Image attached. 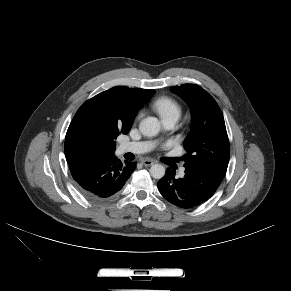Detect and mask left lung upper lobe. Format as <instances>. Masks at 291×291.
<instances>
[{"instance_id": "1", "label": "left lung upper lobe", "mask_w": 291, "mask_h": 291, "mask_svg": "<svg viewBox=\"0 0 291 291\" xmlns=\"http://www.w3.org/2000/svg\"><path fill=\"white\" fill-rule=\"evenodd\" d=\"M190 106L192 130L184 140V166H196L225 176L229 162V140L222 112L204 89L194 84L171 88Z\"/></svg>"}]
</instances>
